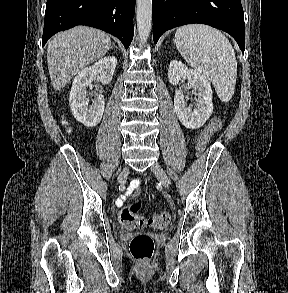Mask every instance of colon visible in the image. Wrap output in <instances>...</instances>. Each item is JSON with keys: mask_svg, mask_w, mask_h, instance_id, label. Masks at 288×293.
<instances>
[{"mask_svg": "<svg viewBox=\"0 0 288 293\" xmlns=\"http://www.w3.org/2000/svg\"><path fill=\"white\" fill-rule=\"evenodd\" d=\"M222 126V117H214L209 121L208 125L198 136L196 144L198 153L204 151L210 139L221 130ZM141 206L142 203L136 200L122 208L119 218L123 226L128 229H143L146 227L163 229L168 225L170 217L167 213L156 212L149 217H144L139 214ZM153 250V239L145 234L136 235L130 243V252L139 261L149 260L153 254Z\"/></svg>", "mask_w": 288, "mask_h": 293, "instance_id": "colon-1", "label": "colon"}]
</instances>
